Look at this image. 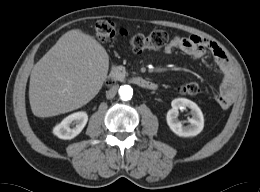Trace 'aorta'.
I'll list each match as a JSON object with an SVG mask.
<instances>
[{
	"label": "aorta",
	"mask_w": 260,
	"mask_h": 192,
	"mask_svg": "<svg viewBox=\"0 0 260 192\" xmlns=\"http://www.w3.org/2000/svg\"><path fill=\"white\" fill-rule=\"evenodd\" d=\"M118 92H119L120 98L124 101L130 100L133 96V89L129 85L120 86Z\"/></svg>",
	"instance_id": "762f6f07"
}]
</instances>
